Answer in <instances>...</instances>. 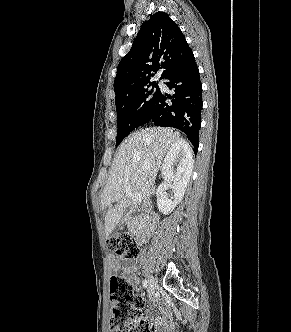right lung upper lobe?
Instances as JSON below:
<instances>
[{"label":"right lung upper lobe","instance_id":"1","mask_svg":"<svg viewBox=\"0 0 291 332\" xmlns=\"http://www.w3.org/2000/svg\"><path fill=\"white\" fill-rule=\"evenodd\" d=\"M194 57L185 36L168 14L157 12L144 22L114 80L115 100L148 86L159 69L160 79Z\"/></svg>","mask_w":291,"mask_h":332}]
</instances>
